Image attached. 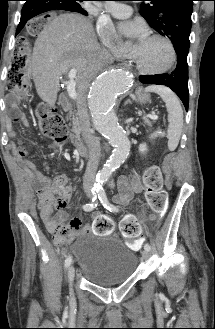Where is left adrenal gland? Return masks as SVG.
Masks as SVG:
<instances>
[{
  "instance_id": "left-adrenal-gland-1",
  "label": "left adrenal gland",
  "mask_w": 215,
  "mask_h": 329,
  "mask_svg": "<svg viewBox=\"0 0 215 329\" xmlns=\"http://www.w3.org/2000/svg\"><path fill=\"white\" fill-rule=\"evenodd\" d=\"M127 104H132V102H131L130 99H128V100L125 101L124 105L126 106Z\"/></svg>"
}]
</instances>
